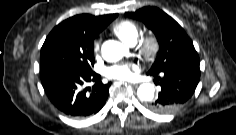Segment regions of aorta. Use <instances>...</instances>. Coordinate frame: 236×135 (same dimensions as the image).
<instances>
[{"mask_svg":"<svg viewBox=\"0 0 236 135\" xmlns=\"http://www.w3.org/2000/svg\"><path fill=\"white\" fill-rule=\"evenodd\" d=\"M102 57L107 62H117L128 54V48L115 40L105 41L101 48ZM155 88L150 83H143L137 90V95L142 101H151L154 98Z\"/></svg>","mask_w":236,"mask_h":135,"instance_id":"762f6f07","label":"aorta"}]
</instances>
